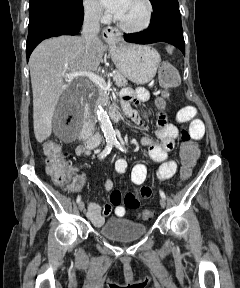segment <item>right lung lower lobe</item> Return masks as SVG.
<instances>
[{
  "label": "right lung lower lobe",
  "instance_id": "98d812e1",
  "mask_svg": "<svg viewBox=\"0 0 240 288\" xmlns=\"http://www.w3.org/2000/svg\"><path fill=\"white\" fill-rule=\"evenodd\" d=\"M81 12L55 11L48 13L28 26L27 60L33 49L44 39L60 35H76L83 23Z\"/></svg>",
  "mask_w": 240,
  "mask_h": 288
}]
</instances>
